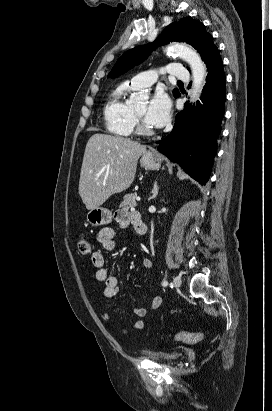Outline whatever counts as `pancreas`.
<instances>
[{
  "instance_id": "obj_1",
  "label": "pancreas",
  "mask_w": 272,
  "mask_h": 411,
  "mask_svg": "<svg viewBox=\"0 0 272 411\" xmlns=\"http://www.w3.org/2000/svg\"><path fill=\"white\" fill-rule=\"evenodd\" d=\"M136 197H137L136 192L126 194L120 206L123 209H130V208L136 207Z\"/></svg>"
}]
</instances>
